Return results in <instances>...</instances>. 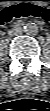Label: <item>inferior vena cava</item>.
<instances>
[{"mask_svg":"<svg viewBox=\"0 0 50 111\" xmlns=\"http://www.w3.org/2000/svg\"><path fill=\"white\" fill-rule=\"evenodd\" d=\"M22 28L21 27H19V26H15V27H13V28H11L10 30H9V35L10 36H16V35H20L21 33H22Z\"/></svg>","mask_w":50,"mask_h":111,"instance_id":"1","label":"inferior vena cava"}]
</instances>
